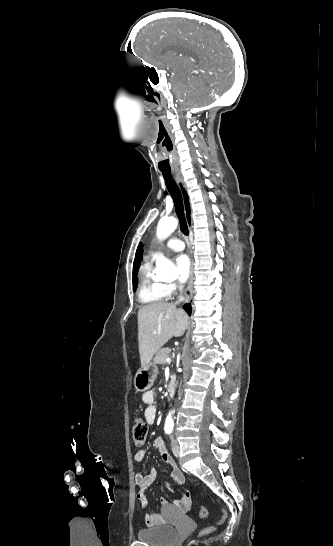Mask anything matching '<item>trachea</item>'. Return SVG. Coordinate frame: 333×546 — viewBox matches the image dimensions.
Returning <instances> with one entry per match:
<instances>
[{"mask_svg": "<svg viewBox=\"0 0 333 546\" xmlns=\"http://www.w3.org/2000/svg\"><path fill=\"white\" fill-rule=\"evenodd\" d=\"M166 187L172 196L175 211L179 219L180 229L184 235H188V226L184 214L183 198L171 173L162 172Z\"/></svg>", "mask_w": 333, "mask_h": 546, "instance_id": "3493384b", "label": "trachea"}]
</instances>
